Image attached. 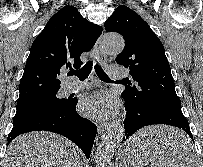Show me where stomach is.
Here are the masks:
<instances>
[{
    "mask_svg": "<svg viewBox=\"0 0 203 167\" xmlns=\"http://www.w3.org/2000/svg\"><path fill=\"white\" fill-rule=\"evenodd\" d=\"M146 129H143V130H146ZM132 151H133V148H129V147L126 148V150L124 152V157H123L122 162H121V167H129V165H131V163H130L131 158L130 157H131ZM151 152L158 154L157 149H153Z\"/></svg>",
    "mask_w": 203,
    "mask_h": 167,
    "instance_id": "0dacf381",
    "label": "stomach"
}]
</instances>
